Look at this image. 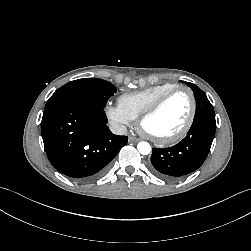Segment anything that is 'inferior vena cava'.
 Listing matches in <instances>:
<instances>
[{
  "label": "inferior vena cava",
  "instance_id": "602c4592",
  "mask_svg": "<svg viewBox=\"0 0 251 251\" xmlns=\"http://www.w3.org/2000/svg\"><path fill=\"white\" fill-rule=\"evenodd\" d=\"M110 130L112 133L116 135H125L127 133V128L121 124H112L110 126Z\"/></svg>",
  "mask_w": 251,
  "mask_h": 251
}]
</instances>
